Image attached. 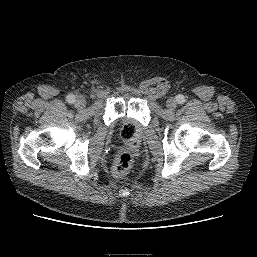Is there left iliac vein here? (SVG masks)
I'll list each match as a JSON object with an SVG mask.
<instances>
[{
  "label": "left iliac vein",
  "mask_w": 257,
  "mask_h": 257,
  "mask_svg": "<svg viewBox=\"0 0 257 257\" xmlns=\"http://www.w3.org/2000/svg\"><path fill=\"white\" fill-rule=\"evenodd\" d=\"M177 106V101L174 99V98H169L167 101H166V107L169 109V110H174Z\"/></svg>",
  "instance_id": "4c4485c4"
}]
</instances>
